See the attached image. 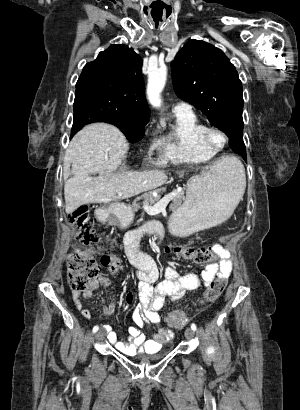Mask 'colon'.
Masks as SVG:
<instances>
[{"instance_id":"1","label":"colon","mask_w":300,"mask_h":410,"mask_svg":"<svg viewBox=\"0 0 300 410\" xmlns=\"http://www.w3.org/2000/svg\"><path fill=\"white\" fill-rule=\"evenodd\" d=\"M69 223L76 228L77 237L83 244L96 245L100 242V236L90 223L88 207L81 206L76 209L70 215ZM166 251L195 263L203 264L214 262L218 258L219 246H168ZM100 260L102 266L112 273L121 269V260L116 254L103 253ZM97 275L98 266L87 253H78L69 258L67 279L72 291H84ZM226 283L227 281L224 279H216L211 282L204 293V300L207 302L216 300L222 294ZM186 322L187 316L181 311L172 312L167 318L168 325L173 328L183 327Z\"/></svg>"}]
</instances>
